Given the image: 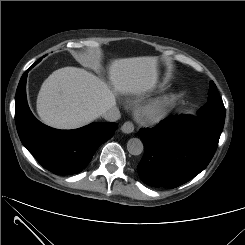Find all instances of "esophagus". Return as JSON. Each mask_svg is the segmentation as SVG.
I'll list each match as a JSON object with an SVG mask.
<instances>
[{
  "mask_svg": "<svg viewBox=\"0 0 245 245\" xmlns=\"http://www.w3.org/2000/svg\"><path fill=\"white\" fill-rule=\"evenodd\" d=\"M121 130L122 132L126 133V134H130L134 131V124L131 121H127L125 122L122 126H121Z\"/></svg>",
  "mask_w": 245,
  "mask_h": 245,
  "instance_id": "esophagus-1",
  "label": "esophagus"
}]
</instances>
